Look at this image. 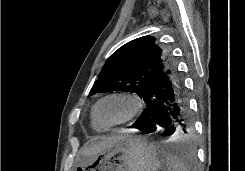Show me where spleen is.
<instances>
[{
	"label": "spleen",
	"instance_id": "obj_1",
	"mask_svg": "<svg viewBox=\"0 0 245 171\" xmlns=\"http://www.w3.org/2000/svg\"><path fill=\"white\" fill-rule=\"evenodd\" d=\"M165 158L167 171H189L185 163L177 156L170 152L162 151Z\"/></svg>",
	"mask_w": 245,
	"mask_h": 171
}]
</instances>
